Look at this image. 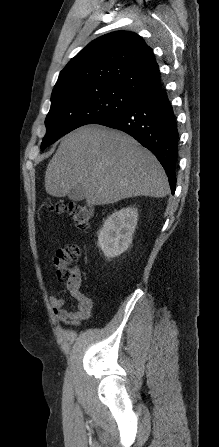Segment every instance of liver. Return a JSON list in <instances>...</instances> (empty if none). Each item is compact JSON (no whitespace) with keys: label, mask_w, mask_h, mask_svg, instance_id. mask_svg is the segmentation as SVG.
I'll return each mask as SVG.
<instances>
[{"label":"liver","mask_w":219,"mask_h":447,"mask_svg":"<svg viewBox=\"0 0 219 447\" xmlns=\"http://www.w3.org/2000/svg\"><path fill=\"white\" fill-rule=\"evenodd\" d=\"M77 185L92 206L169 193L166 173L150 151L129 135L99 125L65 135L47 166L45 189L50 196L64 197Z\"/></svg>","instance_id":"6515ba94"}]
</instances>
